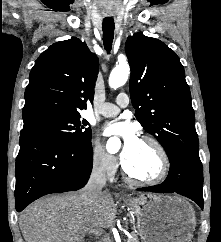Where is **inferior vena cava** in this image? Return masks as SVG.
<instances>
[{"mask_svg":"<svg viewBox=\"0 0 221 242\" xmlns=\"http://www.w3.org/2000/svg\"><path fill=\"white\" fill-rule=\"evenodd\" d=\"M106 185V168L102 163L95 164L88 183L83 189L82 197L89 204L96 203L103 194L102 189Z\"/></svg>","mask_w":221,"mask_h":242,"instance_id":"602c4592","label":"inferior vena cava"}]
</instances>
